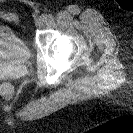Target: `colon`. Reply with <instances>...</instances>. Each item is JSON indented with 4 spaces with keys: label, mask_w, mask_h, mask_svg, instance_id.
Wrapping results in <instances>:
<instances>
[{
    "label": "colon",
    "mask_w": 133,
    "mask_h": 133,
    "mask_svg": "<svg viewBox=\"0 0 133 133\" xmlns=\"http://www.w3.org/2000/svg\"><path fill=\"white\" fill-rule=\"evenodd\" d=\"M1 16L4 17V18H8V19L14 18L13 16L8 15V14H4V13H1ZM4 96L5 97H10L11 96V90L9 88L7 90H5Z\"/></svg>",
    "instance_id": "1"
}]
</instances>
